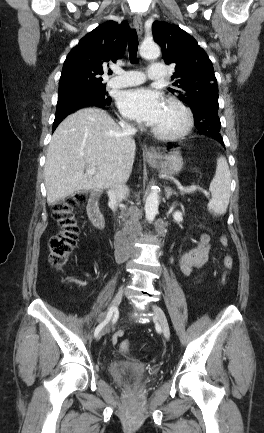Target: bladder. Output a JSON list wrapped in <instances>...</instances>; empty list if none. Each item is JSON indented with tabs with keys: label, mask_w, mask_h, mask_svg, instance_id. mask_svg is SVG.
I'll list each match as a JSON object with an SVG mask.
<instances>
[{
	"label": "bladder",
	"mask_w": 264,
	"mask_h": 433,
	"mask_svg": "<svg viewBox=\"0 0 264 433\" xmlns=\"http://www.w3.org/2000/svg\"><path fill=\"white\" fill-rule=\"evenodd\" d=\"M134 368L126 363H112L109 366V372L112 378L119 384L126 386V375L130 372H134Z\"/></svg>",
	"instance_id": "bladder-1"
}]
</instances>
